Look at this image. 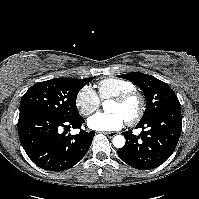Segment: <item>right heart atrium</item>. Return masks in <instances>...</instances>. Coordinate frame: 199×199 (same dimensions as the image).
I'll return each mask as SVG.
<instances>
[{"label": "right heart atrium", "instance_id": "right-heart-atrium-1", "mask_svg": "<svg viewBox=\"0 0 199 199\" xmlns=\"http://www.w3.org/2000/svg\"><path fill=\"white\" fill-rule=\"evenodd\" d=\"M75 103L79 112L85 117L95 113L101 104L97 93L90 85H85L79 90Z\"/></svg>", "mask_w": 199, "mask_h": 199}]
</instances>
